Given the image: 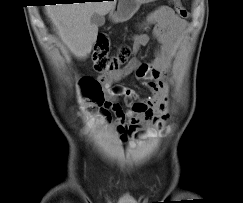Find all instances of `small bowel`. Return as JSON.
<instances>
[{
	"label": "small bowel",
	"mask_w": 243,
	"mask_h": 203,
	"mask_svg": "<svg viewBox=\"0 0 243 203\" xmlns=\"http://www.w3.org/2000/svg\"><path fill=\"white\" fill-rule=\"evenodd\" d=\"M153 26L154 36L158 46L150 62L142 63L137 59L131 60L122 70L115 73H102L98 79L104 87L105 101L101 108V115L108 118L110 113L116 116L115 128L121 140L130 135H143L142 128L147 124L162 126L167 119L166 79L178 45L183 38L188 23L179 18L172 9L160 7L155 10L140 26L144 29ZM149 37L143 31L133 38L135 51L147 46ZM134 74L152 92V96L138 99L136 92L126 86L117 85L125 77ZM124 98L128 108L124 110L117 102ZM161 114L157 116V114Z\"/></svg>",
	"instance_id": "c3829d8e"
}]
</instances>
